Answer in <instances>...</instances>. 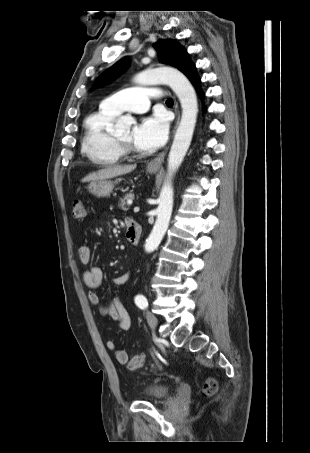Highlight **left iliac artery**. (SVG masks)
Segmentation results:
<instances>
[{
	"instance_id": "44dca946",
	"label": "left iliac artery",
	"mask_w": 310,
	"mask_h": 453,
	"mask_svg": "<svg viewBox=\"0 0 310 453\" xmlns=\"http://www.w3.org/2000/svg\"><path fill=\"white\" fill-rule=\"evenodd\" d=\"M135 303L141 309H146L148 307V301L143 295H137L135 297Z\"/></svg>"
}]
</instances>
